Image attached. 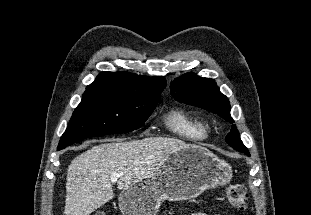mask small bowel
I'll return each instance as SVG.
<instances>
[{
	"mask_svg": "<svg viewBox=\"0 0 311 215\" xmlns=\"http://www.w3.org/2000/svg\"><path fill=\"white\" fill-rule=\"evenodd\" d=\"M191 215H219V214H208L205 212H195V213H192Z\"/></svg>",
	"mask_w": 311,
	"mask_h": 215,
	"instance_id": "small-bowel-1",
	"label": "small bowel"
}]
</instances>
